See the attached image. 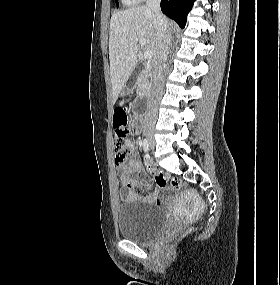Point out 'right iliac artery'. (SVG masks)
Wrapping results in <instances>:
<instances>
[{
  "label": "right iliac artery",
  "mask_w": 280,
  "mask_h": 285,
  "mask_svg": "<svg viewBox=\"0 0 280 285\" xmlns=\"http://www.w3.org/2000/svg\"><path fill=\"white\" fill-rule=\"evenodd\" d=\"M143 150L145 152H148L149 151V142L147 139H143Z\"/></svg>",
  "instance_id": "right-iliac-artery-1"
}]
</instances>
